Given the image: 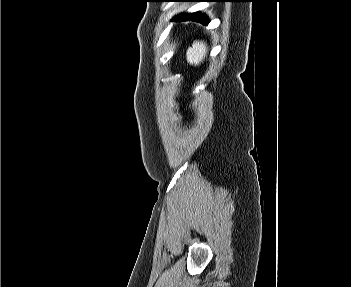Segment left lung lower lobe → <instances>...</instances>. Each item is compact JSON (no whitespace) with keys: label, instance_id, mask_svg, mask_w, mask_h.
<instances>
[{"label":"left lung lower lobe","instance_id":"1","mask_svg":"<svg viewBox=\"0 0 351 287\" xmlns=\"http://www.w3.org/2000/svg\"><path fill=\"white\" fill-rule=\"evenodd\" d=\"M199 0H175V2H198ZM175 21H197L202 24L207 25L209 20L208 18L201 13H189V14H181L174 19Z\"/></svg>","mask_w":351,"mask_h":287}]
</instances>
